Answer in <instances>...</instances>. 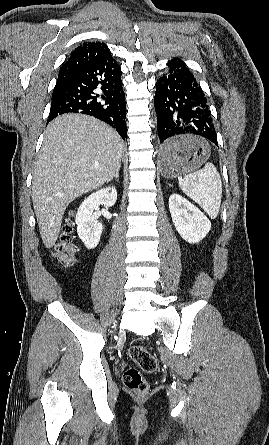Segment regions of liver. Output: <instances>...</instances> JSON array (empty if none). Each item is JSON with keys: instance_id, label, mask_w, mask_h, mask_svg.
Listing matches in <instances>:
<instances>
[{"instance_id": "6515ba94", "label": "liver", "mask_w": 269, "mask_h": 445, "mask_svg": "<svg viewBox=\"0 0 269 445\" xmlns=\"http://www.w3.org/2000/svg\"><path fill=\"white\" fill-rule=\"evenodd\" d=\"M123 150L119 134L94 117L65 114L48 125L32 183L33 206L46 248L57 241L67 206L110 181L121 165Z\"/></svg>"}]
</instances>
